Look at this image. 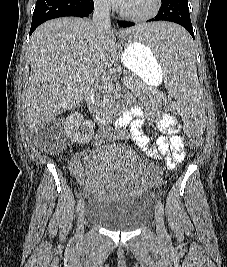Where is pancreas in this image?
I'll return each instance as SVG.
<instances>
[{"instance_id": "1", "label": "pancreas", "mask_w": 227, "mask_h": 267, "mask_svg": "<svg viewBox=\"0 0 227 267\" xmlns=\"http://www.w3.org/2000/svg\"><path fill=\"white\" fill-rule=\"evenodd\" d=\"M126 86L132 91L146 90L145 84L135 79L133 75L124 77ZM115 90L110 82H106L97 93V105L100 108L110 107L114 103Z\"/></svg>"}]
</instances>
